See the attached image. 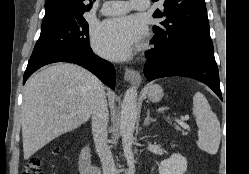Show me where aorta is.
I'll return each mask as SVG.
<instances>
[{
	"label": "aorta",
	"instance_id": "762f6f07",
	"mask_svg": "<svg viewBox=\"0 0 249 174\" xmlns=\"http://www.w3.org/2000/svg\"><path fill=\"white\" fill-rule=\"evenodd\" d=\"M137 118V88L132 86L125 92L120 113V134L124 156L129 167L128 174H134V155L132 151L133 133Z\"/></svg>",
	"mask_w": 249,
	"mask_h": 174
}]
</instances>
